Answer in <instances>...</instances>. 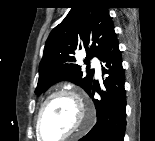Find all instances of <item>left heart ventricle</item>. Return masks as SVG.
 Listing matches in <instances>:
<instances>
[{
  "mask_svg": "<svg viewBox=\"0 0 155 141\" xmlns=\"http://www.w3.org/2000/svg\"><path fill=\"white\" fill-rule=\"evenodd\" d=\"M80 122L78 106L66 96H57L45 106L40 128L45 140L60 139L71 132Z\"/></svg>",
  "mask_w": 155,
  "mask_h": 141,
  "instance_id": "1",
  "label": "left heart ventricle"
}]
</instances>
